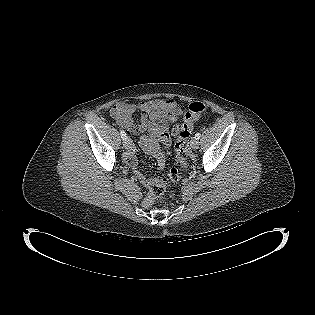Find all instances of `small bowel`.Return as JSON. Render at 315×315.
Wrapping results in <instances>:
<instances>
[{
    "label": "small bowel",
    "mask_w": 315,
    "mask_h": 315,
    "mask_svg": "<svg viewBox=\"0 0 315 315\" xmlns=\"http://www.w3.org/2000/svg\"><path fill=\"white\" fill-rule=\"evenodd\" d=\"M140 112V123L134 125L133 116ZM183 114V107L173 99L142 101L138 104L118 102L110 109V116L115 122L128 130L129 135L141 134L139 144L142 150L156 158L160 169L165 167L167 148L171 145V137L176 128L171 124ZM152 121L149 122L148 119ZM126 163L133 169L136 178L145 187L154 181L137 169L135 148H131L125 157Z\"/></svg>",
    "instance_id": "1"
}]
</instances>
